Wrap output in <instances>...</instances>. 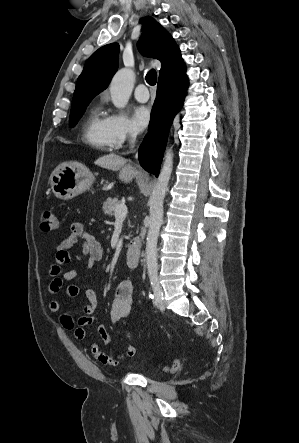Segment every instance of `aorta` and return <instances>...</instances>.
Here are the masks:
<instances>
[{"instance_id":"obj_1","label":"aorta","mask_w":299,"mask_h":443,"mask_svg":"<svg viewBox=\"0 0 299 443\" xmlns=\"http://www.w3.org/2000/svg\"><path fill=\"white\" fill-rule=\"evenodd\" d=\"M134 87V73L124 68L119 70L110 83V95L113 105L123 109L131 96ZM173 169L172 148H167L163 167L148 201L150 220L146 238V263L149 274L157 273V241L160 227L163 222V202L167 192L169 180Z\"/></svg>"}]
</instances>
